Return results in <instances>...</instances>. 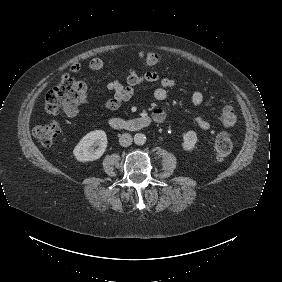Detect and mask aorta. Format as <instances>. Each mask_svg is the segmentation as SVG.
<instances>
[{
  "label": "aorta",
  "mask_w": 282,
  "mask_h": 282,
  "mask_svg": "<svg viewBox=\"0 0 282 282\" xmlns=\"http://www.w3.org/2000/svg\"><path fill=\"white\" fill-rule=\"evenodd\" d=\"M133 140H134L135 145L142 146L146 142V136L143 133H137L134 135Z\"/></svg>",
  "instance_id": "762f6f07"
}]
</instances>
